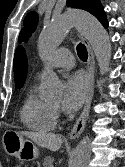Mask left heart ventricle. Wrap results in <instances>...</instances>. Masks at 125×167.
Returning a JSON list of instances; mask_svg holds the SVG:
<instances>
[{"instance_id":"obj_1","label":"left heart ventricle","mask_w":125,"mask_h":167,"mask_svg":"<svg viewBox=\"0 0 125 167\" xmlns=\"http://www.w3.org/2000/svg\"><path fill=\"white\" fill-rule=\"evenodd\" d=\"M59 104V101H55V102H52L50 103L51 106H54V107H57Z\"/></svg>"}]
</instances>
